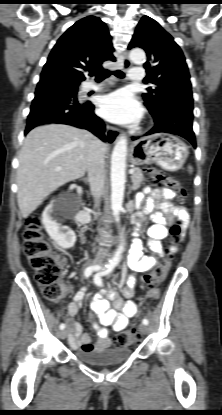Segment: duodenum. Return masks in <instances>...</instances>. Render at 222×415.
Listing matches in <instances>:
<instances>
[{
	"instance_id": "obj_1",
	"label": "duodenum",
	"mask_w": 222,
	"mask_h": 415,
	"mask_svg": "<svg viewBox=\"0 0 222 415\" xmlns=\"http://www.w3.org/2000/svg\"><path fill=\"white\" fill-rule=\"evenodd\" d=\"M89 214H88V212H86V211H82L81 213H80V215H79V220L81 221V222H87L88 220H89Z\"/></svg>"
}]
</instances>
